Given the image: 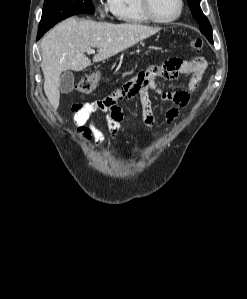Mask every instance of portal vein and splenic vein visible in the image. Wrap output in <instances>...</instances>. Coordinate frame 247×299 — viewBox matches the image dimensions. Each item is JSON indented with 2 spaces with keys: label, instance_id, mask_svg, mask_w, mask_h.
I'll use <instances>...</instances> for the list:
<instances>
[{
  "label": "portal vein and splenic vein",
  "instance_id": "portal-vein-and-splenic-vein-1",
  "mask_svg": "<svg viewBox=\"0 0 247 299\" xmlns=\"http://www.w3.org/2000/svg\"><path fill=\"white\" fill-rule=\"evenodd\" d=\"M87 52L92 54V53H95V50L94 49H87Z\"/></svg>",
  "mask_w": 247,
  "mask_h": 299
}]
</instances>
